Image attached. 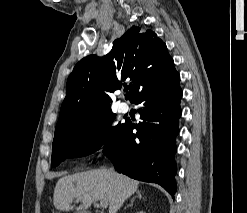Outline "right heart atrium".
<instances>
[{
	"mask_svg": "<svg viewBox=\"0 0 247 213\" xmlns=\"http://www.w3.org/2000/svg\"><path fill=\"white\" fill-rule=\"evenodd\" d=\"M103 132L100 130H96L88 134L85 138V145L87 147H93L99 145L103 141Z\"/></svg>",
	"mask_w": 247,
	"mask_h": 213,
	"instance_id": "1",
	"label": "right heart atrium"
}]
</instances>
